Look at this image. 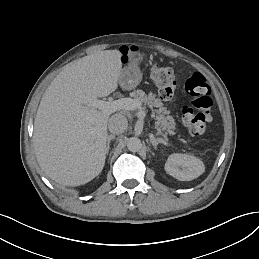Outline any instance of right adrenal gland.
<instances>
[{
  "mask_svg": "<svg viewBox=\"0 0 259 259\" xmlns=\"http://www.w3.org/2000/svg\"><path fill=\"white\" fill-rule=\"evenodd\" d=\"M115 140V135L107 136V154H109L110 143Z\"/></svg>",
  "mask_w": 259,
  "mask_h": 259,
  "instance_id": "right-adrenal-gland-1",
  "label": "right adrenal gland"
}]
</instances>
